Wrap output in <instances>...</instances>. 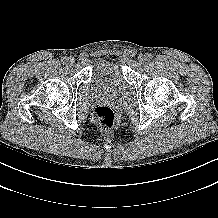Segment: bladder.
<instances>
[{"mask_svg": "<svg viewBox=\"0 0 218 218\" xmlns=\"http://www.w3.org/2000/svg\"><path fill=\"white\" fill-rule=\"evenodd\" d=\"M91 79L99 89L124 91L128 84L125 80L122 64L114 58L98 57L91 65Z\"/></svg>", "mask_w": 218, "mask_h": 218, "instance_id": "1", "label": "bladder"}]
</instances>
